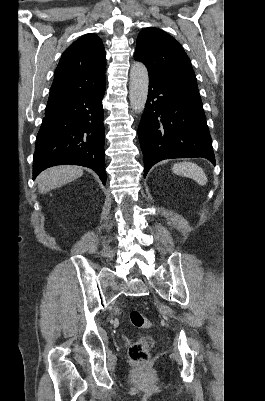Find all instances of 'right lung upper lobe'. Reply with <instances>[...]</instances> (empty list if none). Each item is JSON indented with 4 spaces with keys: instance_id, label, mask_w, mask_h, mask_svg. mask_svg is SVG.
Masks as SVG:
<instances>
[{
    "instance_id": "right-lung-upper-lobe-1",
    "label": "right lung upper lobe",
    "mask_w": 265,
    "mask_h": 401,
    "mask_svg": "<svg viewBox=\"0 0 265 401\" xmlns=\"http://www.w3.org/2000/svg\"><path fill=\"white\" fill-rule=\"evenodd\" d=\"M101 39L86 34L62 54L48 103L97 91L106 86V57Z\"/></svg>"
}]
</instances>
